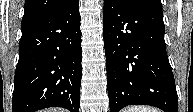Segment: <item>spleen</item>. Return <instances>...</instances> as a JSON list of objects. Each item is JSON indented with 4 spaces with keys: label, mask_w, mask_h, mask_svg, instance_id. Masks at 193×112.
<instances>
[{
    "label": "spleen",
    "mask_w": 193,
    "mask_h": 112,
    "mask_svg": "<svg viewBox=\"0 0 193 112\" xmlns=\"http://www.w3.org/2000/svg\"><path fill=\"white\" fill-rule=\"evenodd\" d=\"M124 112H158L157 109L146 106H132L124 110Z\"/></svg>",
    "instance_id": "3e777b00"
}]
</instances>
